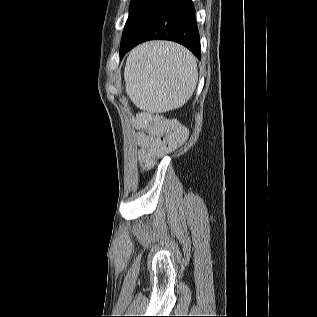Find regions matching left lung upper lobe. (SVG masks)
<instances>
[{"label":"left lung upper lobe","mask_w":317,"mask_h":317,"mask_svg":"<svg viewBox=\"0 0 317 317\" xmlns=\"http://www.w3.org/2000/svg\"><path fill=\"white\" fill-rule=\"evenodd\" d=\"M167 0H132L128 20L122 35L121 45L129 42L145 24V22Z\"/></svg>","instance_id":"obj_1"}]
</instances>
